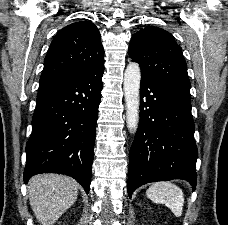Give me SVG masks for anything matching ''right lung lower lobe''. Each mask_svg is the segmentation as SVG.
Returning a JSON list of instances; mask_svg holds the SVG:
<instances>
[{
  "label": "right lung lower lobe",
  "instance_id": "1",
  "mask_svg": "<svg viewBox=\"0 0 228 225\" xmlns=\"http://www.w3.org/2000/svg\"><path fill=\"white\" fill-rule=\"evenodd\" d=\"M103 72L104 62L39 86L26 145L25 183L38 173H61L89 192Z\"/></svg>",
  "mask_w": 228,
  "mask_h": 225
}]
</instances>
